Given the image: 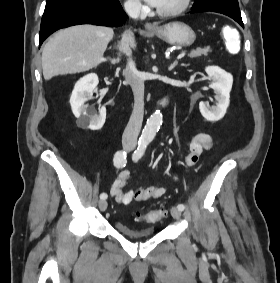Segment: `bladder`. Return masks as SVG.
I'll return each mask as SVG.
<instances>
[{
  "instance_id": "1",
  "label": "bladder",
  "mask_w": 280,
  "mask_h": 283,
  "mask_svg": "<svg viewBox=\"0 0 280 283\" xmlns=\"http://www.w3.org/2000/svg\"><path fill=\"white\" fill-rule=\"evenodd\" d=\"M115 229L119 234L129 239H145L155 235V227L153 225H145L134 229L126 223L118 221L115 223Z\"/></svg>"
}]
</instances>
